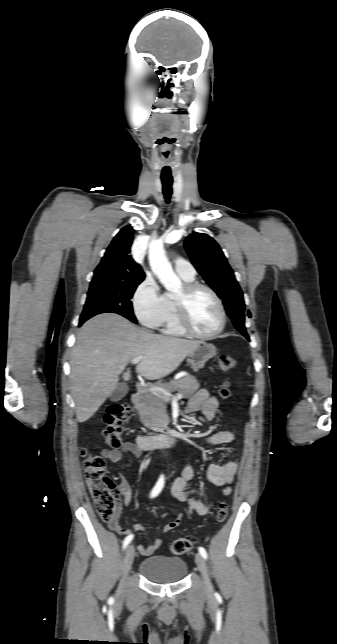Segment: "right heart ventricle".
<instances>
[{"instance_id": "obj_1", "label": "right heart ventricle", "mask_w": 337, "mask_h": 644, "mask_svg": "<svg viewBox=\"0 0 337 644\" xmlns=\"http://www.w3.org/2000/svg\"><path fill=\"white\" fill-rule=\"evenodd\" d=\"M180 277L186 283L193 282L195 278V277H186L183 275H180ZM158 327H160V331L163 334H166L169 336L178 337V336H183L185 334L183 330L179 327L175 317L174 296L169 293L164 295V313Z\"/></svg>"}]
</instances>
